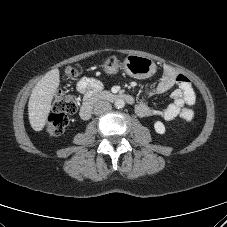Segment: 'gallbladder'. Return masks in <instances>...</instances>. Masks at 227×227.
<instances>
[{
  "label": "gallbladder",
  "mask_w": 227,
  "mask_h": 227,
  "mask_svg": "<svg viewBox=\"0 0 227 227\" xmlns=\"http://www.w3.org/2000/svg\"><path fill=\"white\" fill-rule=\"evenodd\" d=\"M69 72H70V68L67 67V68L65 69V73L68 74Z\"/></svg>",
  "instance_id": "bac80fb5"
}]
</instances>
